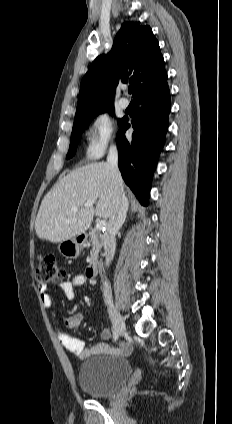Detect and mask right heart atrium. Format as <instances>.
<instances>
[{
    "mask_svg": "<svg viewBox=\"0 0 232 424\" xmlns=\"http://www.w3.org/2000/svg\"><path fill=\"white\" fill-rule=\"evenodd\" d=\"M116 146V129L107 113L98 114L91 122L87 133V154L101 158Z\"/></svg>",
    "mask_w": 232,
    "mask_h": 424,
    "instance_id": "1",
    "label": "right heart atrium"
}]
</instances>
